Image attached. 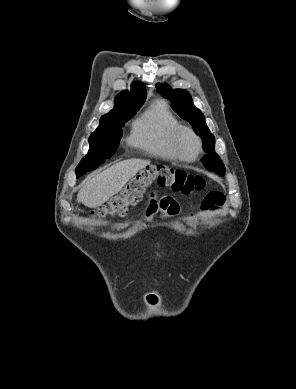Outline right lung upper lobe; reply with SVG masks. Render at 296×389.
Returning <instances> with one entry per match:
<instances>
[{
  "label": "right lung upper lobe",
  "instance_id": "1",
  "mask_svg": "<svg viewBox=\"0 0 296 389\" xmlns=\"http://www.w3.org/2000/svg\"><path fill=\"white\" fill-rule=\"evenodd\" d=\"M146 99V89L142 83H133L131 91H123L115 97V106L108 114L101 118L110 117L123 111L138 108L143 105Z\"/></svg>",
  "mask_w": 296,
  "mask_h": 389
}]
</instances>
